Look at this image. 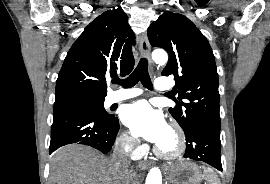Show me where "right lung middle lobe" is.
Returning a JSON list of instances; mask_svg holds the SVG:
<instances>
[{
    "label": "right lung middle lobe",
    "mask_w": 270,
    "mask_h": 184,
    "mask_svg": "<svg viewBox=\"0 0 270 184\" xmlns=\"http://www.w3.org/2000/svg\"><path fill=\"white\" fill-rule=\"evenodd\" d=\"M104 99L105 97L68 95L56 98L54 106L64 104H83L99 118L108 120L113 116L108 115L105 111Z\"/></svg>",
    "instance_id": "1"
}]
</instances>
